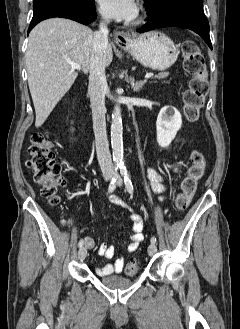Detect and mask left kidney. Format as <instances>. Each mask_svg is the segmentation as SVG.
<instances>
[{"mask_svg": "<svg viewBox=\"0 0 240 329\" xmlns=\"http://www.w3.org/2000/svg\"><path fill=\"white\" fill-rule=\"evenodd\" d=\"M181 126L182 118L179 111L171 106L163 107L156 121L158 145L162 148L168 147Z\"/></svg>", "mask_w": 240, "mask_h": 329, "instance_id": "1", "label": "left kidney"}]
</instances>
